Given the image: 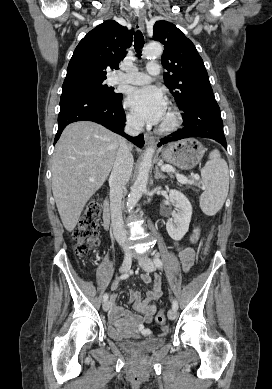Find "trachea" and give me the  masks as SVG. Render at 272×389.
I'll return each mask as SVG.
<instances>
[{"label":"trachea","mask_w":272,"mask_h":389,"mask_svg":"<svg viewBox=\"0 0 272 389\" xmlns=\"http://www.w3.org/2000/svg\"><path fill=\"white\" fill-rule=\"evenodd\" d=\"M144 36L141 31H137L134 36V48L137 53V56H141V49L144 46Z\"/></svg>","instance_id":"trachea-1"}]
</instances>
